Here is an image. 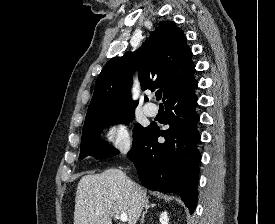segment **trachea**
<instances>
[{"label":"trachea","instance_id":"3493384b","mask_svg":"<svg viewBox=\"0 0 275 224\" xmlns=\"http://www.w3.org/2000/svg\"><path fill=\"white\" fill-rule=\"evenodd\" d=\"M161 97H162V92H157V93H156V99H157V100H160Z\"/></svg>","mask_w":275,"mask_h":224}]
</instances>
